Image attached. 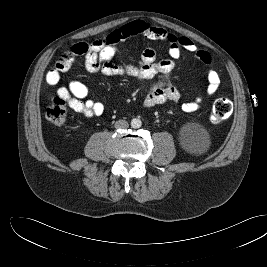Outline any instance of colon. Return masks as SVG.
<instances>
[{"label":"colon","mask_w":267,"mask_h":267,"mask_svg":"<svg viewBox=\"0 0 267 267\" xmlns=\"http://www.w3.org/2000/svg\"><path fill=\"white\" fill-rule=\"evenodd\" d=\"M233 111V104L226 97L217 98L212 106L210 119L212 123H221L227 120ZM46 118L55 126H64L67 120V106L65 101L56 97L45 110Z\"/></svg>","instance_id":"5ec220e1"}]
</instances>
